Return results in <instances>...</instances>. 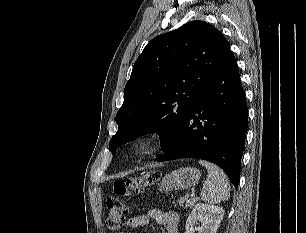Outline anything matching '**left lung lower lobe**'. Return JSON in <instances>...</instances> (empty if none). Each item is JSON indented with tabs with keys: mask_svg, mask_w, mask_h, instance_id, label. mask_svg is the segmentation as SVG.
Masks as SVG:
<instances>
[{
	"mask_svg": "<svg viewBox=\"0 0 306 233\" xmlns=\"http://www.w3.org/2000/svg\"><path fill=\"white\" fill-rule=\"evenodd\" d=\"M202 120V121H201ZM247 132V105L230 52L174 137L155 161L201 158L220 166L237 189Z\"/></svg>",
	"mask_w": 306,
	"mask_h": 233,
	"instance_id": "0a47b994",
	"label": "left lung lower lobe"
}]
</instances>
